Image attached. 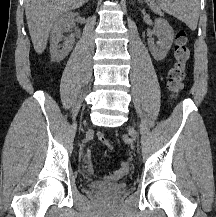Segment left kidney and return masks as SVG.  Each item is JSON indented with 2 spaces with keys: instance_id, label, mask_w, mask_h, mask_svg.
Wrapping results in <instances>:
<instances>
[{
  "instance_id": "1",
  "label": "left kidney",
  "mask_w": 216,
  "mask_h": 217,
  "mask_svg": "<svg viewBox=\"0 0 216 217\" xmlns=\"http://www.w3.org/2000/svg\"><path fill=\"white\" fill-rule=\"evenodd\" d=\"M153 35L157 36L159 41L155 43L154 39L150 37L148 46L154 59L159 61L164 59L170 50L174 39V31L166 20L156 19Z\"/></svg>"
}]
</instances>
